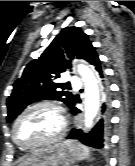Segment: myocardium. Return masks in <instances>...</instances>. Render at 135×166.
I'll return each instance as SVG.
<instances>
[{
    "instance_id": "myocardium-1",
    "label": "myocardium",
    "mask_w": 135,
    "mask_h": 166,
    "mask_svg": "<svg viewBox=\"0 0 135 166\" xmlns=\"http://www.w3.org/2000/svg\"><path fill=\"white\" fill-rule=\"evenodd\" d=\"M42 107L52 108V109L56 110L59 113L60 118H61V128H60L59 132L54 137H52L50 139H47V140H44V141H41V142H37V143H33V144H23V143H21L20 141H18V139L16 137V128H17V125H18L19 121L29 111L37 109V108H42ZM67 125H68V122H67V117L65 115V110L60 104H58L54 101L37 102L35 104H32V105L26 107L17 116V118L15 119V121L13 123V126H12V139H13V141L16 145H18L21 148H25V149H35V148H40V147H44V146L53 145V144L57 143L58 141H60L64 137V135L66 133V130H67Z\"/></svg>"
}]
</instances>
